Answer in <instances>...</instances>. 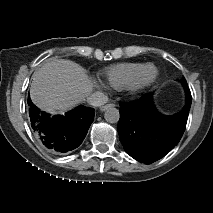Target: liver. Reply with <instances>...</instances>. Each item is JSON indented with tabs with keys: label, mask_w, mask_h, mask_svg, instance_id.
<instances>
[{
	"label": "liver",
	"mask_w": 213,
	"mask_h": 213,
	"mask_svg": "<svg viewBox=\"0 0 213 213\" xmlns=\"http://www.w3.org/2000/svg\"><path fill=\"white\" fill-rule=\"evenodd\" d=\"M32 79V102L52 114L74 108L91 94L94 87L81 66L65 59L47 62L33 74Z\"/></svg>",
	"instance_id": "1"
}]
</instances>
